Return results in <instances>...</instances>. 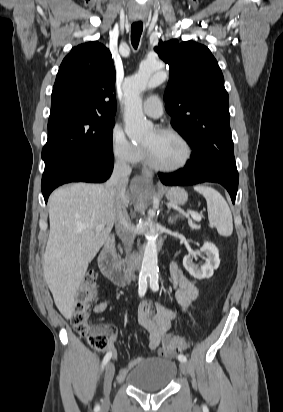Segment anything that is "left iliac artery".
Returning <instances> with one entry per match:
<instances>
[{"label":"left iliac artery","instance_id":"44dca946","mask_svg":"<svg viewBox=\"0 0 283 412\" xmlns=\"http://www.w3.org/2000/svg\"><path fill=\"white\" fill-rule=\"evenodd\" d=\"M149 277H150V287H151V289H152L153 291H158V289H159L158 275H156V274H150ZM178 360H179L180 362H186V361H187V358H186V356L180 354V355H178Z\"/></svg>","mask_w":283,"mask_h":412}]
</instances>
